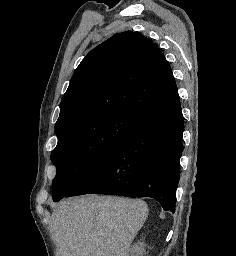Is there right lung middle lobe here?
I'll return each mask as SVG.
<instances>
[{
	"instance_id": "1",
	"label": "right lung middle lobe",
	"mask_w": 236,
	"mask_h": 256,
	"mask_svg": "<svg viewBox=\"0 0 236 256\" xmlns=\"http://www.w3.org/2000/svg\"><path fill=\"white\" fill-rule=\"evenodd\" d=\"M126 111H117L72 124L57 132L58 144L51 154L57 174L52 197H65L101 160L140 123Z\"/></svg>"
}]
</instances>
